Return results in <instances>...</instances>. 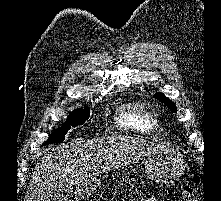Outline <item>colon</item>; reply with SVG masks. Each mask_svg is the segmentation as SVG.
Instances as JSON below:
<instances>
[{"mask_svg": "<svg viewBox=\"0 0 221 201\" xmlns=\"http://www.w3.org/2000/svg\"><path fill=\"white\" fill-rule=\"evenodd\" d=\"M180 194L181 201H197L193 188L188 184L182 185Z\"/></svg>", "mask_w": 221, "mask_h": 201, "instance_id": "1", "label": "colon"}]
</instances>
